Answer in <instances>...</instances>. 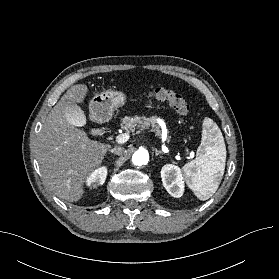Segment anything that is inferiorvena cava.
Masks as SVG:
<instances>
[{
    "label": "inferior vena cava",
    "mask_w": 279,
    "mask_h": 279,
    "mask_svg": "<svg viewBox=\"0 0 279 279\" xmlns=\"http://www.w3.org/2000/svg\"><path fill=\"white\" fill-rule=\"evenodd\" d=\"M110 151H111V153H114L116 155H122L124 152V149L122 147H114Z\"/></svg>",
    "instance_id": "obj_1"
}]
</instances>
